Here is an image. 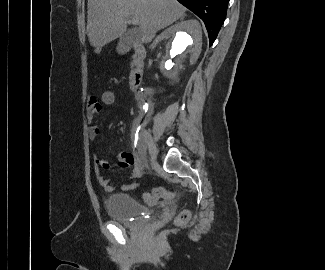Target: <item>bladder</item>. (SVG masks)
Masks as SVG:
<instances>
[{"label":"bladder","instance_id":"bladder-1","mask_svg":"<svg viewBox=\"0 0 325 270\" xmlns=\"http://www.w3.org/2000/svg\"><path fill=\"white\" fill-rule=\"evenodd\" d=\"M110 218L126 226H133L148 216V209L127 194L110 195L105 202Z\"/></svg>","mask_w":325,"mask_h":270}]
</instances>
